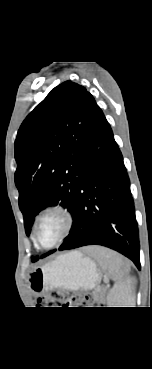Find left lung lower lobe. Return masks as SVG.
Returning a JSON list of instances; mask_svg holds the SVG:
<instances>
[{
	"mask_svg": "<svg viewBox=\"0 0 152 369\" xmlns=\"http://www.w3.org/2000/svg\"><path fill=\"white\" fill-rule=\"evenodd\" d=\"M76 216L59 251L86 245L114 249L140 269L139 234L123 156L102 110L82 157Z\"/></svg>",
	"mask_w": 152,
	"mask_h": 369,
	"instance_id": "1",
	"label": "left lung lower lobe"
}]
</instances>
